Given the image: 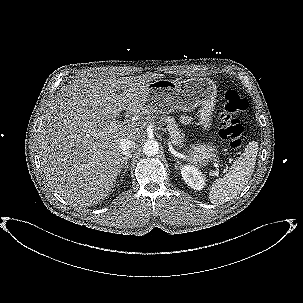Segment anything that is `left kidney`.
<instances>
[{"instance_id": "left-kidney-1", "label": "left kidney", "mask_w": 303, "mask_h": 303, "mask_svg": "<svg viewBox=\"0 0 303 303\" xmlns=\"http://www.w3.org/2000/svg\"><path fill=\"white\" fill-rule=\"evenodd\" d=\"M181 174L184 181L195 190H202L204 187V178L200 175V173L193 167L184 166L181 169Z\"/></svg>"}]
</instances>
